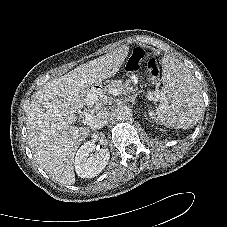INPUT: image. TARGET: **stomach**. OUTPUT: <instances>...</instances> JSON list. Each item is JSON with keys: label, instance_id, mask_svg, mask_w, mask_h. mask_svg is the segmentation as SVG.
<instances>
[{"label": "stomach", "instance_id": "stomach-1", "mask_svg": "<svg viewBox=\"0 0 227 227\" xmlns=\"http://www.w3.org/2000/svg\"><path fill=\"white\" fill-rule=\"evenodd\" d=\"M88 91L97 93V94H109L115 93L117 91V86L112 84L111 79L106 78L100 81H96L88 84Z\"/></svg>", "mask_w": 227, "mask_h": 227}]
</instances>
